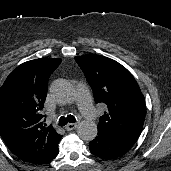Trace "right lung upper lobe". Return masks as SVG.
Segmentation results:
<instances>
[{
  "label": "right lung upper lobe",
  "mask_w": 171,
  "mask_h": 171,
  "mask_svg": "<svg viewBox=\"0 0 171 171\" xmlns=\"http://www.w3.org/2000/svg\"><path fill=\"white\" fill-rule=\"evenodd\" d=\"M59 58H39L19 65L0 88V135L21 160L41 164L61 138L53 127H44L40 114L50 75Z\"/></svg>",
  "instance_id": "1"
}]
</instances>
